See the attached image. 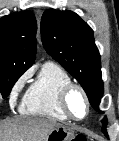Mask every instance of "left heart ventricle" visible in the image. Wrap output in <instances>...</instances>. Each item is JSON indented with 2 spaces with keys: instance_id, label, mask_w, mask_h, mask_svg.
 Returning <instances> with one entry per match:
<instances>
[{
  "instance_id": "b2bd125f",
  "label": "left heart ventricle",
  "mask_w": 119,
  "mask_h": 141,
  "mask_svg": "<svg viewBox=\"0 0 119 141\" xmlns=\"http://www.w3.org/2000/svg\"><path fill=\"white\" fill-rule=\"evenodd\" d=\"M69 107L72 114L76 117H82L85 114V101L78 91H73L69 96Z\"/></svg>"
}]
</instances>
